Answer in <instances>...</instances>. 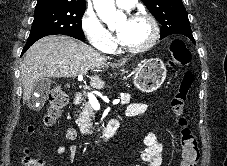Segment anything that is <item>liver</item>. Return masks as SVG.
Returning a JSON list of instances; mask_svg holds the SVG:
<instances>
[{"instance_id": "1", "label": "liver", "mask_w": 227, "mask_h": 166, "mask_svg": "<svg viewBox=\"0 0 227 166\" xmlns=\"http://www.w3.org/2000/svg\"><path fill=\"white\" fill-rule=\"evenodd\" d=\"M128 59L119 63H107L98 51L82 41L66 35L46 36L34 43L26 53L21 66L23 101L32 93L34 83L41 78H69L86 75L88 71L101 72L108 67L124 65ZM90 85L101 89L104 85L99 75L90 77Z\"/></svg>"}]
</instances>
